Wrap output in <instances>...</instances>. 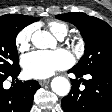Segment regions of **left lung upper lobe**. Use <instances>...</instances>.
Segmentation results:
<instances>
[{"mask_svg": "<svg viewBox=\"0 0 112 112\" xmlns=\"http://www.w3.org/2000/svg\"><path fill=\"white\" fill-rule=\"evenodd\" d=\"M56 18L74 24L85 41V53L73 67L86 73L112 66V28L103 20L82 12L56 15Z\"/></svg>", "mask_w": 112, "mask_h": 112, "instance_id": "1", "label": "left lung upper lobe"}]
</instances>
